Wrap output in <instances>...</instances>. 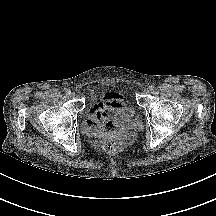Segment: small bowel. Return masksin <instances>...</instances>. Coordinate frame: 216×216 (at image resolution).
I'll use <instances>...</instances> for the list:
<instances>
[{
	"instance_id": "small-bowel-1",
	"label": "small bowel",
	"mask_w": 216,
	"mask_h": 216,
	"mask_svg": "<svg viewBox=\"0 0 216 216\" xmlns=\"http://www.w3.org/2000/svg\"><path fill=\"white\" fill-rule=\"evenodd\" d=\"M127 112L129 110L124 105L123 97L119 93H105L100 100L93 96L86 117V128L94 134L114 129L117 117Z\"/></svg>"
}]
</instances>
